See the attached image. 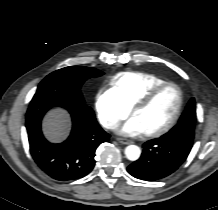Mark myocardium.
Instances as JSON below:
<instances>
[{"instance_id": "f54148a6", "label": "myocardium", "mask_w": 218, "mask_h": 210, "mask_svg": "<svg viewBox=\"0 0 218 210\" xmlns=\"http://www.w3.org/2000/svg\"><path fill=\"white\" fill-rule=\"evenodd\" d=\"M168 86L175 87L177 92H178V104H177L176 110H175L172 118L169 120V122L166 125H164L163 127L159 128L157 130L143 133L144 136H146V137H159V136L167 133L168 131H170L175 126V124L177 123V121L180 118V115H181V112L183 109V104H184V95H183V91H182L181 87L175 82L165 81V82L155 86L150 91H148L141 99H139L133 105V107L131 109V114L133 115L136 110L148 106L156 98V96L163 89H165Z\"/></svg>"}]
</instances>
